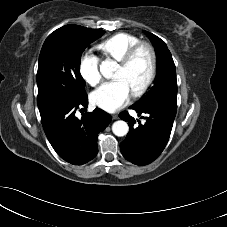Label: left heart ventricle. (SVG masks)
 Masks as SVG:
<instances>
[{"label":"left heart ventricle","mask_w":227,"mask_h":227,"mask_svg":"<svg viewBox=\"0 0 227 227\" xmlns=\"http://www.w3.org/2000/svg\"><path fill=\"white\" fill-rule=\"evenodd\" d=\"M148 73L149 56L145 50H142L129 67L123 69L119 66L113 78L122 80L132 93L144 82Z\"/></svg>","instance_id":"b2bd125f"}]
</instances>
